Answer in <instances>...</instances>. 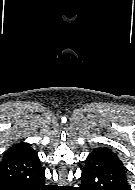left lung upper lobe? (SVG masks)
Masks as SVG:
<instances>
[{
  "label": "left lung upper lobe",
  "mask_w": 135,
  "mask_h": 190,
  "mask_svg": "<svg viewBox=\"0 0 135 190\" xmlns=\"http://www.w3.org/2000/svg\"><path fill=\"white\" fill-rule=\"evenodd\" d=\"M94 153H97V154H100V155H103L105 157H107L108 159L114 161L115 163H117L118 165H120L121 167H124L122 161L119 159V157L114 153L112 152L111 150L107 149V148H98L94 151Z\"/></svg>",
  "instance_id": "obj_1"
}]
</instances>
